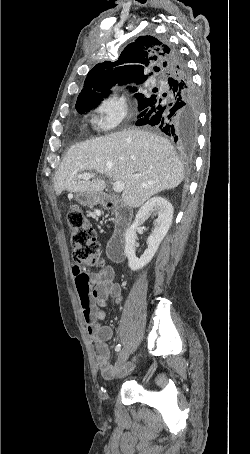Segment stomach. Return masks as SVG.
<instances>
[{
    "mask_svg": "<svg viewBox=\"0 0 250 454\" xmlns=\"http://www.w3.org/2000/svg\"><path fill=\"white\" fill-rule=\"evenodd\" d=\"M80 197L84 203L89 205H95L100 201V196L94 192L80 193Z\"/></svg>",
    "mask_w": 250,
    "mask_h": 454,
    "instance_id": "0dacf381",
    "label": "stomach"
}]
</instances>
